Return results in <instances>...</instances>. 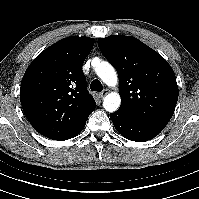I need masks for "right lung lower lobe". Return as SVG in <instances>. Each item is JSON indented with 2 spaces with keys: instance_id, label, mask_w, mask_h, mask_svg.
<instances>
[{
  "instance_id": "98d812e1",
  "label": "right lung lower lobe",
  "mask_w": 199,
  "mask_h": 199,
  "mask_svg": "<svg viewBox=\"0 0 199 199\" xmlns=\"http://www.w3.org/2000/svg\"><path fill=\"white\" fill-rule=\"evenodd\" d=\"M83 128H84V127H83ZM83 128H82V129H83ZM82 129H81V130H82ZM81 130H80V131H81ZM80 131H79L78 133H76L75 135H72V136H70V137H67V138H65V139H63V140H67V139H70V138H72V137L78 135V134L80 133Z\"/></svg>"
}]
</instances>
